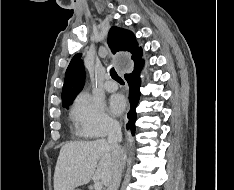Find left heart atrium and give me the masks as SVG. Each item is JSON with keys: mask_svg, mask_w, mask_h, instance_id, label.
I'll return each mask as SVG.
<instances>
[{"mask_svg": "<svg viewBox=\"0 0 234 190\" xmlns=\"http://www.w3.org/2000/svg\"><path fill=\"white\" fill-rule=\"evenodd\" d=\"M110 107L114 113L122 112L125 108L124 98L122 96H119V95L113 96L111 101H110Z\"/></svg>", "mask_w": 234, "mask_h": 190, "instance_id": "1", "label": "left heart atrium"}]
</instances>
